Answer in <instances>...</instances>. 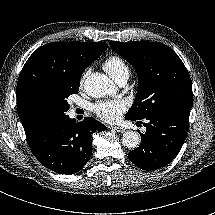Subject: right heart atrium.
<instances>
[{
	"label": "right heart atrium",
	"mask_w": 215,
	"mask_h": 215,
	"mask_svg": "<svg viewBox=\"0 0 215 215\" xmlns=\"http://www.w3.org/2000/svg\"><path fill=\"white\" fill-rule=\"evenodd\" d=\"M88 73H89V71H85V72L81 75L80 80H79V86H80V88L83 87L84 81H85V79H86Z\"/></svg>",
	"instance_id": "obj_1"
}]
</instances>
